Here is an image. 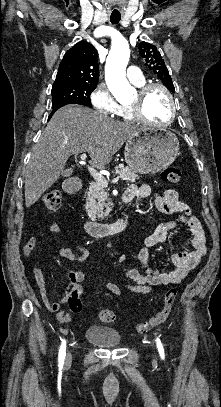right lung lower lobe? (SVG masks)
<instances>
[{
  "label": "right lung lower lobe",
  "mask_w": 221,
  "mask_h": 407,
  "mask_svg": "<svg viewBox=\"0 0 221 407\" xmlns=\"http://www.w3.org/2000/svg\"><path fill=\"white\" fill-rule=\"evenodd\" d=\"M63 106H64V105H63ZM61 107H62V106L53 108V111H52V113L50 114L49 118H51V116L55 113V111L58 110V109L61 108Z\"/></svg>",
  "instance_id": "98d812e1"
}]
</instances>
